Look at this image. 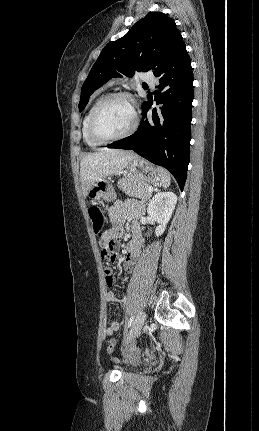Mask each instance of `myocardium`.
<instances>
[{
    "instance_id": "obj_1",
    "label": "myocardium",
    "mask_w": 259,
    "mask_h": 431,
    "mask_svg": "<svg viewBox=\"0 0 259 431\" xmlns=\"http://www.w3.org/2000/svg\"><path fill=\"white\" fill-rule=\"evenodd\" d=\"M115 99H125L131 104L132 110H133V115H134L133 123L127 131H125L124 133H122L120 135L113 136V137H101L96 131L97 118H98L101 110L109 102H111ZM139 121H140L139 115H138V112L136 110L135 102H134L132 96L127 92L111 93V94L104 96L98 102V104L95 106L94 110L92 111L90 119H89V124H88L89 136L93 141H95L96 143H99V144H105V143H110V142L118 141L121 139H125V138L131 136L133 133H135V131L137 130V128L139 126Z\"/></svg>"
}]
</instances>
